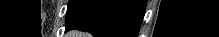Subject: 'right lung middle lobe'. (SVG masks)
Here are the masks:
<instances>
[{
    "mask_svg": "<svg viewBox=\"0 0 219 37\" xmlns=\"http://www.w3.org/2000/svg\"><path fill=\"white\" fill-rule=\"evenodd\" d=\"M77 0H70L68 3V7L71 6L73 3H75Z\"/></svg>",
    "mask_w": 219,
    "mask_h": 37,
    "instance_id": "1",
    "label": "right lung middle lobe"
}]
</instances>
